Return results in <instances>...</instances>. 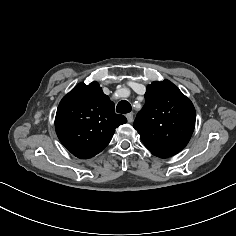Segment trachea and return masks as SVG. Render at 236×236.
Returning a JSON list of instances; mask_svg holds the SVG:
<instances>
[{"mask_svg":"<svg viewBox=\"0 0 236 236\" xmlns=\"http://www.w3.org/2000/svg\"><path fill=\"white\" fill-rule=\"evenodd\" d=\"M132 110V107L128 101H120L116 107V112L117 113H129Z\"/></svg>","mask_w":236,"mask_h":236,"instance_id":"1","label":"trachea"}]
</instances>
